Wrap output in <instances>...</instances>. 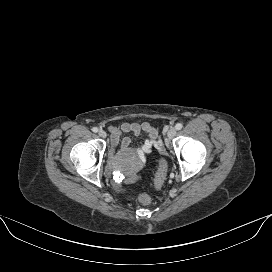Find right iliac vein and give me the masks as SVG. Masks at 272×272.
<instances>
[{"label": "right iliac vein", "instance_id": "1", "mask_svg": "<svg viewBox=\"0 0 272 272\" xmlns=\"http://www.w3.org/2000/svg\"><path fill=\"white\" fill-rule=\"evenodd\" d=\"M98 135H99L100 137H102V138H105V137H106V132H105L104 130H100V131L98 132Z\"/></svg>", "mask_w": 272, "mask_h": 272}]
</instances>
